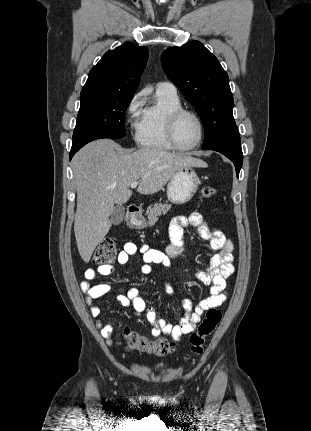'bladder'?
Instances as JSON below:
<instances>
[{
  "mask_svg": "<svg viewBox=\"0 0 311 431\" xmlns=\"http://www.w3.org/2000/svg\"><path fill=\"white\" fill-rule=\"evenodd\" d=\"M157 368H158V369H163V368H164V366H158Z\"/></svg>",
  "mask_w": 311,
  "mask_h": 431,
  "instance_id": "obj_1",
  "label": "bladder"
}]
</instances>
